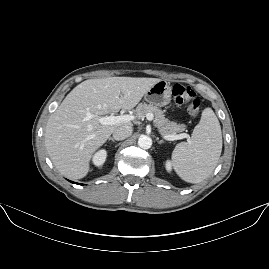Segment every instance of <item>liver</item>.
I'll return each mask as SVG.
<instances>
[{"instance_id":"6515ba94","label":"liver","mask_w":269,"mask_h":269,"mask_svg":"<svg viewBox=\"0 0 269 269\" xmlns=\"http://www.w3.org/2000/svg\"><path fill=\"white\" fill-rule=\"evenodd\" d=\"M158 78L108 77L77 85L51 114L45 129V146L53 164L70 179L89 171L92 154L114 131L131 122L99 123L101 116L134 108ZM87 112L96 117L84 121Z\"/></svg>"}]
</instances>
